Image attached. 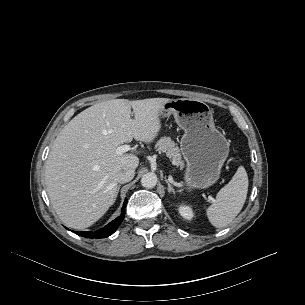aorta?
<instances>
[{"label": "aorta", "mask_w": 305, "mask_h": 305, "mask_svg": "<svg viewBox=\"0 0 305 305\" xmlns=\"http://www.w3.org/2000/svg\"><path fill=\"white\" fill-rule=\"evenodd\" d=\"M141 184L143 187L151 189L154 188L157 184V176L155 173L149 172L142 176Z\"/></svg>", "instance_id": "obj_1"}]
</instances>
